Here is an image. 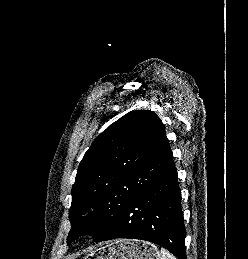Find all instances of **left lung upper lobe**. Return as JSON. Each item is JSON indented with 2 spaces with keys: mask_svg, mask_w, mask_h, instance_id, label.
Instances as JSON below:
<instances>
[{
  "mask_svg": "<svg viewBox=\"0 0 248 259\" xmlns=\"http://www.w3.org/2000/svg\"><path fill=\"white\" fill-rule=\"evenodd\" d=\"M173 164L159 117L131 111L110 125L85 153L72 187L69 244L104 231ZM91 211L87 217L84 214Z\"/></svg>",
  "mask_w": 248,
  "mask_h": 259,
  "instance_id": "obj_1",
  "label": "left lung upper lobe"
}]
</instances>
